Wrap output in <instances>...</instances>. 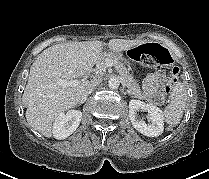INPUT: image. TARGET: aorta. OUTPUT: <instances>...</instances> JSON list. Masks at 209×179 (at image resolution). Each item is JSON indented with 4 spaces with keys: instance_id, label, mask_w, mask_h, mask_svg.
Here are the masks:
<instances>
[{
    "instance_id": "1",
    "label": "aorta",
    "mask_w": 209,
    "mask_h": 179,
    "mask_svg": "<svg viewBox=\"0 0 209 179\" xmlns=\"http://www.w3.org/2000/svg\"><path fill=\"white\" fill-rule=\"evenodd\" d=\"M108 85L111 89H117L120 85V80L118 77H111L108 81Z\"/></svg>"
}]
</instances>
